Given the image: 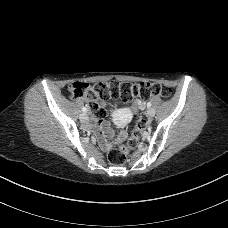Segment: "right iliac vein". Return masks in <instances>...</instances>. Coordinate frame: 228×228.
Here are the masks:
<instances>
[{"label": "right iliac vein", "mask_w": 228, "mask_h": 228, "mask_svg": "<svg viewBox=\"0 0 228 228\" xmlns=\"http://www.w3.org/2000/svg\"><path fill=\"white\" fill-rule=\"evenodd\" d=\"M79 119L81 122H86L88 120V116L85 113L80 114Z\"/></svg>", "instance_id": "obj_1"}]
</instances>
